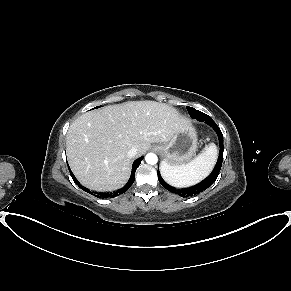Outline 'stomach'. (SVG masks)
Instances as JSON below:
<instances>
[{"mask_svg":"<svg viewBox=\"0 0 291 291\" xmlns=\"http://www.w3.org/2000/svg\"><path fill=\"white\" fill-rule=\"evenodd\" d=\"M196 147L197 136L190 123L177 131L170 141L156 146L162 153L164 162L172 166L188 162L196 151Z\"/></svg>","mask_w":291,"mask_h":291,"instance_id":"1","label":"stomach"}]
</instances>
